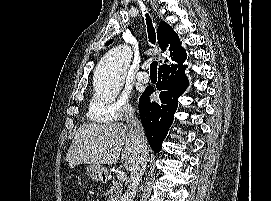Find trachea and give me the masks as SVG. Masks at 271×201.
Here are the masks:
<instances>
[{
    "mask_svg": "<svg viewBox=\"0 0 271 201\" xmlns=\"http://www.w3.org/2000/svg\"><path fill=\"white\" fill-rule=\"evenodd\" d=\"M146 22H147V31H148L149 41L154 44L155 41H156L155 30H154V28L152 26L151 18H150V16L148 14L146 15ZM157 66H158L157 61H153L151 63V65H150V73L151 74H156L157 73Z\"/></svg>",
    "mask_w": 271,
    "mask_h": 201,
    "instance_id": "3493384b",
    "label": "trachea"
}]
</instances>
